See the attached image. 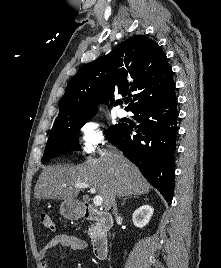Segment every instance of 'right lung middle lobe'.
Returning a JSON list of instances; mask_svg holds the SVG:
<instances>
[{"instance_id": "obj_1", "label": "right lung middle lobe", "mask_w": 221, "mask_h": 268, "mask_svg": "<svg viewBox=\"0 0 221 268\" xmlns=\"http://www.w3.org/2000/svg\"><path fill=\"white\" fill-rule=\"evenodd\" d=\"M93 115L94 114H90L78 118L55 121L41 161L46 162L62 153L79 150L80 145L78 143V132L86 123V120L91 118ZM121 125L122 124H116L111 126L108 133H112Z\"/></svg>"}]
</instances>
